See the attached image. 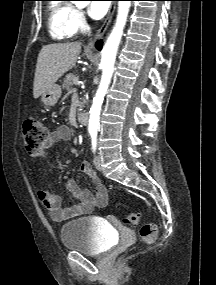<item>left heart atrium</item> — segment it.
<instances>
[{"label":"left heart atrium","instance_id":"left-heart-atrium-1","mask_svg":"<svg viewBox=\"0 0 216 285\" xmlns=\"http://www.w3.org/2000/svg\"><path fill=\"white\" fill-rule=\"evenodd\" d=\"M109 1H93L89 6V15L93 19H101L109 9Z\"/></svg>","mask_w":216,"mask_h":285}]
</instances>
